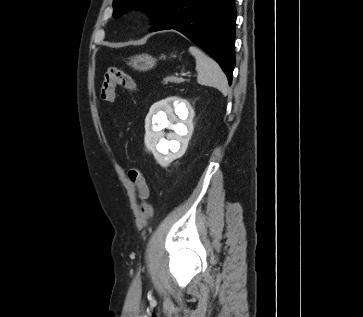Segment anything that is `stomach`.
Instances as JSON below:
<instances>
[{
    "instance_id": "0dacf381",
    "label": "stomach",
    "mask_w": 363,
    "mask_h": 317,
    "mask_svg": "<svg viewBox=\"0 0 363 317\" xmlns=\"http://www.w3.org/2000/svg\"><path fill=\"white\" fill-rule=\"evenodd\" d=\"M156 64L155 58L148 54L136 55L130 59L129 65L139 71H147Z\"/></svg>"
}]
</instances>
